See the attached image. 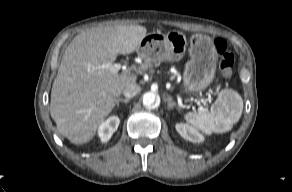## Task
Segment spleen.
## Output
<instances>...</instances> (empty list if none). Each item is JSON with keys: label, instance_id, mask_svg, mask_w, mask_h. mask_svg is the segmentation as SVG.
I'll return each mask as SVG.
<instances>
[{"label": "spleen", "instance_id": "1", "mask_svg": "<svg viewBox=\"0 0 292 192\" xmlns=\"http://www.w3.org/2000/svg\"><path fill=\"white\" fill-rule=\"evenodd\" d=\"M242 111L243 99L240 94L235 90L226 89L218 94L210 112H188L185 114V120L206 135L225 133L239 121Z\"/></svg>", "mask_w": 292, "mask_h": 192}]
</instances>
